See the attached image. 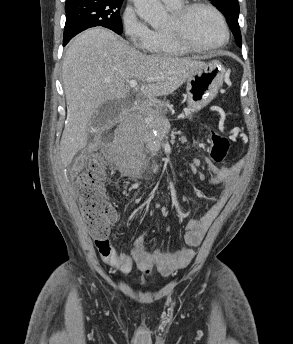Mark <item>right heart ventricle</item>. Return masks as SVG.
<instances>
[{"instance_id": "1", "label": "right heart ventricle", "mask_w": 293, "mask_h": 344, "mask_svg": "<svg viewBox=\"0 0 293 344\" xmlns=\"http://www.w3.org/2000/svg\"><path fill=\"white\" fill-rule=\"evenodd\" d=\"M182 5V1L174 5H169L170 8L176 9ZM147 52L153 56L159 57H178L188 54L189 51L176 44L165 32V30L155 31L153 42L148 48Z\"/></svg>"}]
</instances>
